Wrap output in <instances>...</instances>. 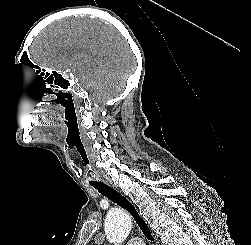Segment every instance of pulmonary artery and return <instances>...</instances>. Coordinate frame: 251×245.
Here are the masks:
<instances>
[{
  "label": "pulmonary artery",
  "mask_w": 251,
  "mask_h": 245,
  "mask_svg": "<svg viewBox=\"0 0 251 245\" xmlns=\"http://www.w3.org/2000/svg\"><path fill=\"white\" fill-rule=\"evenodd\" d=\"M127 245H144V242L140 238H132L127 242Z\"/></svg>",
  "instance_id": "e3ab8cb5"
}]
</instances>
